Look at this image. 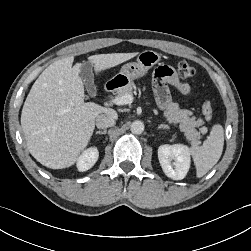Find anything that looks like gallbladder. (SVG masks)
Returning a JSON list of instances; mask_svg holds the SVG:
<instances>
[{
    "label": "gallbladder",
    "mask_w": 251,
    "mask_h": 251,
    "mask_svg": "<svg viewBox=\"0 0 251 251\" xmlns=\"http://www.w3.org/2000/svg\"><path fill=\"white\" fill-rule=\"evenodd\" d=\"M80 75L86 85V89L91 97L96 96L97 89L94 84L93 65L90 62H84L80 66Z\"/></svg>",
    "instance_id": "gallbladder-1"
}]
</instances>
